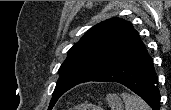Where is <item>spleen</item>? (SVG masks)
I'll return each mask as SVG.
<instances>
[{
    "label": "spleen",
    "mask_w": 171,
    "mask_h": 110,
    "mask_svg": "<svg viewBox=\"0 0 171 110\" xmlns=\"http://www.w3.org/2000/svg\"><path fill=\"white\" fill-rule=\"evenodd\" d=\"M121 97L125 103V110H151L148 104L137 95L125 92Z\"/></svg>",
    "instance_id": "spleen-1"
}]
</instances>
